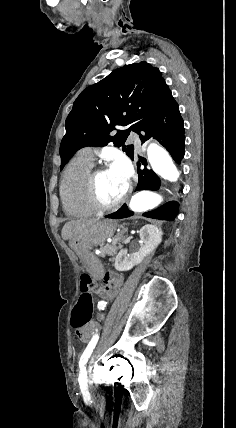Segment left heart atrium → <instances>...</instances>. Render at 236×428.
<instances>
[{"mask_svg": "<svg viewBox=\"0 0 236 428\" xmlns=\"http://www.w3.org/2000/svg\"><path fill=\"white\" fill-rule=\"evenodd\" d=\"M111 169L122 172L128 178H130L131 170L129 165L124 161V159H121V158L114 159L111 163Z\"/></svg>", "mask_w": 236, "mask_h": 428, "instance_id": "1", "label": "left heart atrium"}]
</instances>
